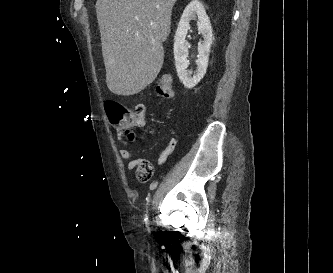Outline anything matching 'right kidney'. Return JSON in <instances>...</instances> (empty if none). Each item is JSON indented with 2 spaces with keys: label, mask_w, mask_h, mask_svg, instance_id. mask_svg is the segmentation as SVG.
Returning a JSON list of instances; mask_svg holds the SVG:
<instances>
[{
  "label": "right kidney",
  "mask_w": 333,
  "mask_h": 273,
  "mask_svg": "<svg viewBox=\"0 0 333 273\" xmlns=\"http://www.w3.org/2000/svg\"><path fill=\"white\" fill-rule=\"evenodd\" d=\"M198 18V31L204 40L198 44L197 69L193 76L187 71L189 61L187 60V48L185 38L190 29V21ZM174 58L177 75L180 81L188 89L195 87L204 77L207 66L210 47L213 41L212 27L209 17L206 15L204 6L198 0L190 2L180 18L178 28L174 37Z\"/></svg>",
  "instance_id": "obj_1"
}]
</instances>
